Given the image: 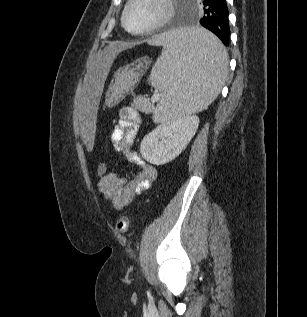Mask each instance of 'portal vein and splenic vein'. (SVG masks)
Instances as JSON below:
<instances>
[{
  "instance_id": "1",
  "label": "portal vein and splenic vein",
  "mask_w": 307,
  "mask_h": 317,
  "mask_svg": "<svg viewBox=\"0 0 307 317\" xmlns=\"http://www.w3.org/2000/svg\"><path fill=\"white\" fill-rule=\"evenodd\" d=\"M162 96V93H154L151 100L152 102H158Z\"/></svg>"
}]
</instances>
